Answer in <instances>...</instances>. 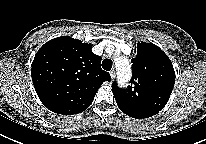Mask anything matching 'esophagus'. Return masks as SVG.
I'll return each instance as SVG.
<instances>
[{"label":"esophagus","mask_w":206,"mask_h":144,"mask_svg":"<svg viewBox=\"0 0 206 144\" xmlns=\"http://www.w3.org/2000/svg\"><path fill=\"white\" fill-rule=\"evenodd\" d=\"M110 76L112 79H114L116 77V72L114 69L110 71Z\"/></svg>","instance_id":"34e87169"}]
</instances>
